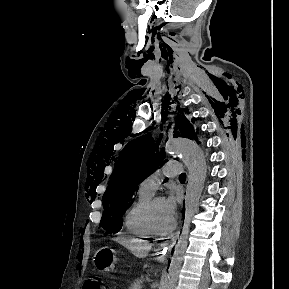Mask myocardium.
I'll use <instances>...</instances> for the list:
<instances>
[{"mask_svg": "<svg viewBox=\"0 0 289 289\" xmlns=\"http://www.w3.org/2000/svg\"><path fill=\"white\" fill-rule=\"evenodd\" d=\"M159 199H163V197L161 195H153L148 200L145 210H144V220H145L147 228L153 235L162 236V235H167L171 233L175 228L176 222L173 219L171 224L165 229H160L155 225V222L153 219V206L155 202Z\"/></svg>", "mask_w": 289, "mask_h": 289, "instance_id": "f54148a6", "label": "myocardium"}]
</instances>
